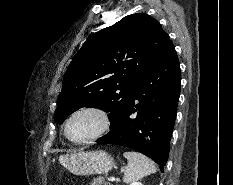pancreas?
<instances>
[{"instance_id": "pancreas-1", "label": "pancreas", "mask_w": 233, "mask_h": 185, "mask_svg": "<svg viewBox=\"0 0 233 185\" xmlns=\"http://www.w3.org/2000/svg\"><path fill=\"white\" fill-rule=\"evenodd\" d=\"M90 185H110V184L105 181L104 177L99 176L97 178H94Z\"/></svg>"}]
</instances>
